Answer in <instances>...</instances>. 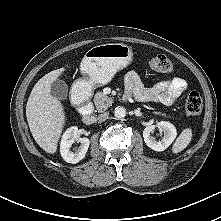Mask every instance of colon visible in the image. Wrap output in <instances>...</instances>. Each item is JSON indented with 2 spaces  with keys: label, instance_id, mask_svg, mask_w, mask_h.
Masks as SVG:
<instances>
[{
  "label": "colon",
  "instance_id": "5ec220e1",
  "mask_svg": "<svg viewBox=\"0 0 221 221\" xmlns=\"http://www.w3.org/2000/svg\"><path fill=\"white\" fill-rule=\"evenodd\" d=\"M150 67L160 73H169L173 70L172 61L163 54L153 56L149 61ZM202 98L197 91H191L185 101V109L189 116H198L202 111Z\"/></svg>",
  "mask_w": 221,
  "mask_h": 221
}]
</instances>
